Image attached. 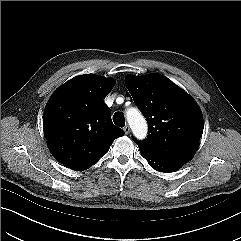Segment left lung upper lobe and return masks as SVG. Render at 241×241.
Instances as JSON below:
<instances>
[{
	"label": "left lung upper lobe",
	"mask_w": 241,
	"mask_h": 241,
	"mask_svg": "<svg viewBox=\"0 0 241 241\" xmlns=\"http://www.w3.org/2000/svg\"><path fill=\"white\" fill-rule=\"evenodd\" d=\"M135 104L144 114L149 134L140 148L179 164L189 162L203 133V116L194 100L160 74L126 78Z\"/></svg>",
	"instance_id": "obj_1"
}]
</instances>
